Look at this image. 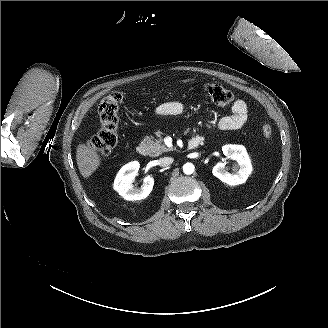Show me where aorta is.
Segmentation results:
<instances>
[{
	"label": "aorta",
	"instance_id": "762f6f07",
	"mask_svg": "<svg viewBox=\"0 0 328 328\" xmlns=\"http://www.w3.org/2000/svg\"><path fill=\"white\" fill-rule=\"evenodd\" d=\"M195 167L192 163H185L183 165V172L187 175H190L194 172Z\"/></svg>",
	"mask_w": 328,
	"mask_h": 328
}]
</instances>
